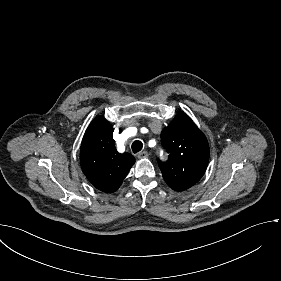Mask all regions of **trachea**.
<instances>
[{"instance_id":"1","label":"trachea","mask_w":281,"mask_h":281,"mask_svg":"<svg viewBox=\"0 0 281 281\" xmlns=\"http://www.w3.org/2000/svg\"><path fill=\"white\" fill-rule=\"evenodd\" d=\"M142 147H143V144H142V142L139 141V140L134 141V142L132 143V145H131L132 151H133V153H135V154H136L137 152L141 151V150H142Z\"/></svg>"}]
</instances>
